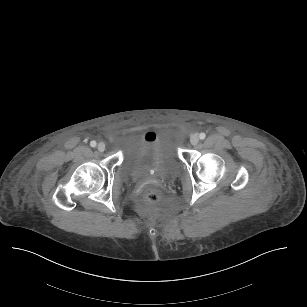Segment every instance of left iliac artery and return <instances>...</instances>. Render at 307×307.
Listing matches in <instances>:
<instances>
[{
	"instance_id": "44dca946",
	"label": "left iliac artery",
	"mask_w": 307,
	"mask_h": 307,
	"mask_svg": "<svg viewBox=\"0 0 307 307\" xmlns=\"http://www.w3.org/2000/svg\"><path fill=\"white\" fill-rule=\"evenodd\" d=\"M205 137H206V134L205 133H200L199 134V138L201 139V140H203V139H205Z\"/></svg>"
}]
</instances>
